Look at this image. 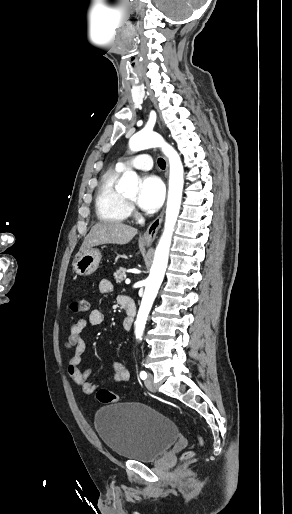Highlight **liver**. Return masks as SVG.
<instances>
[{
  "label": "liver",
  "mask_w": 292,
  "mask_h": 514,
  "mask_svg": "<svg viewBox=\"0 0 292 514\" xmlns=\"http://www.w3.org/2000/svg\"><path fill=\"white\" fill-rule=\"evenodd\" d=\"M136 234L135 228L121 222H98L86 236L80 252L101 244H128Z\"/></svg>",
  "instance_id": "liver-1"
}]
</instances>
